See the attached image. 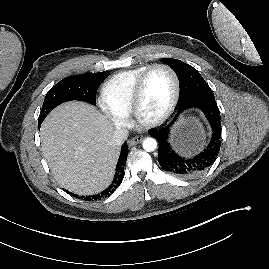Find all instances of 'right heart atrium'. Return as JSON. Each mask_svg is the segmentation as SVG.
<instances>
[{"label": "right heart atrium", "instance_id": "right-heart-atrium-1", "mask_svg": "<svg viewBox=\"0 0 269 269\" xmlns=\"http://www.w3.org/2000/svg\"><path fill=\"white\" fill-rule=\"evenodd\" d=\"M101 108L105 115L112 121V123L118 127H125L128 124V119L126 115L116 113L108 109L105 105H101Z\"/></svg>", "mask_w": 269, "mask_h": 269}]
</instances>
